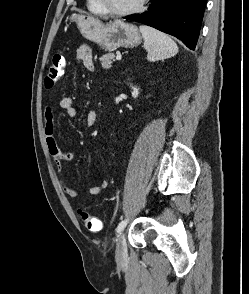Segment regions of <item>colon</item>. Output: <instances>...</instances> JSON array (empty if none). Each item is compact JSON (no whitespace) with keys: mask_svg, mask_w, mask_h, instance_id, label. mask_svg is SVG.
<instances>
[{"mask_svg":"<svg viewBox=\"0 0 249 294\" xmlns=\"http://www.w3.org/2000/svg\"><path fill=\"white\" fill-rule=\"evenodd\" d=\"M65 65H66L65 54L63 51L60 50L53 55L49 68H48L47 76L45 79V84L48 88L53 87L55 84H57L61 80L64 73ZM80 215H81L83 224L87 230L91 232H98L101 230L102 223L97 217L92 216L86 211H81Z\"/></svg>","mask_w":249,"mask_h":294,"instance_id":"colon-1","label":"colon"}]
</instances>
